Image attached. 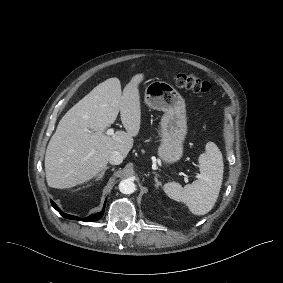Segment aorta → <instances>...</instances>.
Returning <instances> with one entry per match:
<instances>
[{
    "label": "aorta",
    "instance_id": "obj_1",
    "mask_svg": "<svg viewBox=\"0 0 283 283\" xmlns=\"http://www.w3.org/2000/svg\"><path fill=\"white\" fill-rule=\"evenodd\" d=\"M119 190L123 194H132L136 190L135 183L130 179H123L119 183Z\"/></svg>",
    "mask_w": 283,
    "mask_h": 283
}]
</instances>
